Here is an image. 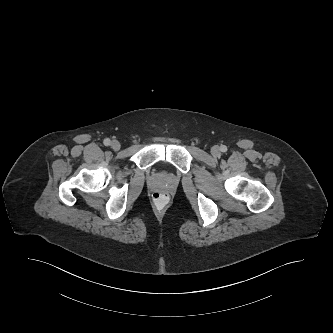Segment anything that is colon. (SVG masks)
Wrapping results in <instances>:
<instances>
[{
	"label": "colon",
	"mask_w": 333,
	"mask_h": 333,
	"mask_svg": "<svg viewBox=\"0 0 333 333\" xmlns=\"http://www.w3.org/2000/svg\"><path fill=\"white\" fill-rule=\"evenodd\" d=\"M152 200V207L155 210H163L166 207V201L168 200L169 196L165 192H156L153 195Z\"/></svg>",
	"instance_id": "1"
}]
</instances>
